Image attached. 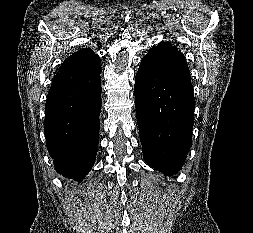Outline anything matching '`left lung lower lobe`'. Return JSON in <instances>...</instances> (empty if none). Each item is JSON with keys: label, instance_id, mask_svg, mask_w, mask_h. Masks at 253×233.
Returning a JSON list of instances; mask_svg holds the SVG:
<instances>
[{"label": "left lung lower lobe", "instance_id": "obj_1", "mask_svg": "<svg viewBox=\"0 0 253 233\" xmlns=\"http://www.w3.org/2000/svg\"><path fill=\"white\" fill-rule=\"evenodd\" d=\"M136 115L148 165L166 174L183 166L192 145L194 94L185 57L170 43L153 47L135 80Z\"/></svg>", "mask_w": 253, "mask_h": 233}]
</instances>
